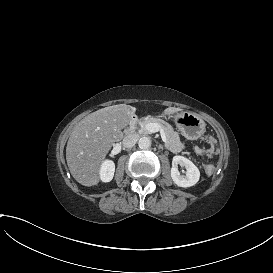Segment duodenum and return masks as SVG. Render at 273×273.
<instances>
[{
    "mask_svg": "<svg viewBox=\"0 0 273 273\" xmlns=\"http://www.w3.org/2000/svg\"><path fill=\"white\" fill-rule=\"evenodd\" d=\"M136 122H137V117L133 116L130 123H129V125H128V127H127V129H126L127 133H131L134 130Z\"/></svg>",
    "mask_w": 273,
    "mask_h": 273,
    "instance_id": "obj_1",
    "label": "duodenum"
}]
</instances>
